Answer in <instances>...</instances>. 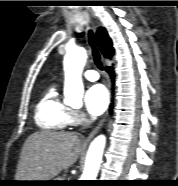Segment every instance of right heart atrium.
<instances>
[{"instance_id": "right-heart-atrium-1", "label": "right heart atrium", "mask_w": 178, "mask_h": 186, "mask_svg": "<svg viewBox=\"0 0 178 186\" xmlns=\"http://www.w3.org/2000/svg\"><path fill=\"white\" fill-rule=\"evenodd\" d=\"M86 121V116L79 110H71L70 124L73 126L80 125Z\"/></svg>"}]
</instances>
